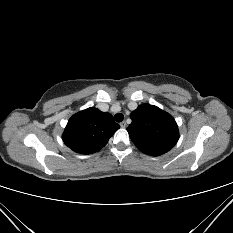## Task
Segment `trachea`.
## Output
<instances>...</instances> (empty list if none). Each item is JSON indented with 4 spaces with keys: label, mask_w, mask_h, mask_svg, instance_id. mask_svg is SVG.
I'll return each instance as SVG.
<instances>
[{
    "label": "trachea",
    "mask_w": 233,
    "mask_h": 233,
    "mask_svg": "<svg viewBox=\"0 0 233 233\" xmlns=\"http://www.w3.org/2000/svg\"><path fill=\"white\" fill-rule=\"evenodd\" d=\"M124 119V115L122 113H117L114 115V120L116 122H121Z\"/></svg>",
    "instance_id": "1"
}]
</instances>
